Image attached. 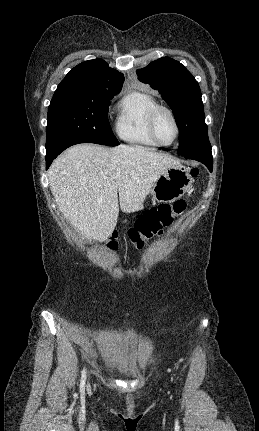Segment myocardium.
Returning a JSON list of instances; mask_svg holds the SVG:
<instances>
[{
	"instance_id": "1",
	"label": "myocardium",
	"mask_w": 259,
	"mask_h": 431,
	"mask_svg": "<svg viewBox=\"0 0 259 431\" xmlns=\"http://www.w3.org/2000/svg\"><path fill=\"white\" fill-rule=\"evenodd\" d=\"M161 111L166 112V113L170 116V118H171V120H172V122H173V124H174V127H175V135H174V137H173L172 141H171V142H169V143H163V142H161V141L158 139L157 135H156V131H155V121H156V117H157L158 113H159V112H161ZM147 123H148V130H149V134H150L151 138L155 141V143H156L158 146H164V147H166V146H170V145H172V144L177 140V138L179 137L180 128H179V124H178V121H177L176 115L174 114L173 110H172L170 107L166 106V105H163V104H156V105H155V106H154V107L149 111V113H148Z\"/></svg>"
}]
</instances>
